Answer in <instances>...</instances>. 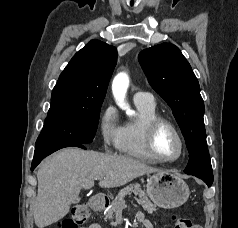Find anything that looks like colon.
Segmentation results:
<instances>
[{"mask_svg": "<svg viewBox=\"0 0 238 228\" xmlns=\"http://www.w3.org/2000/svg\"><path fill=\"white\" fill-rule=\"evenodd\" d=\"M89 211L82 205L78 204L72 207L71 214L66 218L61 225V228H80L88 219ZM174 228H200L198 225L185 217H174Z\"/></svg>", "mask_w": 238, "mask_h": 228, "instance_id": "colon-1", "label": "colon"}]
</instances>
